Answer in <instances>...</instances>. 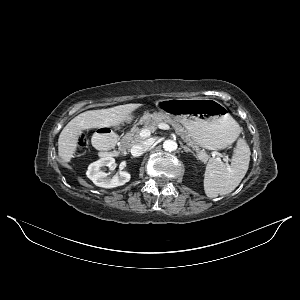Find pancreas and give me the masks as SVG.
<instances>
[{"label":"pancreas","mask_w":300,"mask_h":300,"mask_svg":"<svg viewBox=\"0 0 300 300\" xmlns=\"http://www.w3.org/2000/svg\"><path fill=\"white\" fill-rule=\"evenodd\" d=\"M159 123H168L172 126L175 132L182 137V139L187 142L194 150L197 151L198 157L203 162H206L209 159V155L205 150H201L199 145L191 138L189 133L182 127V125L173 117H170L166 114H158L153 117L149 115H144L141 118L140 122L135 125L130 132L121 139L120 148L128 149L133 145L143 142L144 138L140 136L142 129L138 127L139 124L144 125L145 129H149L150 132H154L158 127Z\"/></svg>","instance_id":"obj_1"}]
</instances>
